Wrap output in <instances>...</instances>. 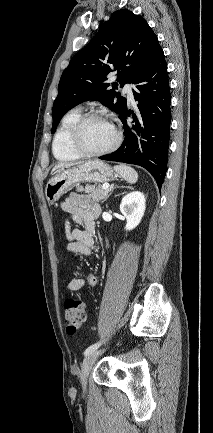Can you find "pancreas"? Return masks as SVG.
I'll list each match as a JSON object with an SVG mask.
<instances>
[{"mask_svg":"<svg viewBox=\"0 0 213 433\" xmlns=\"http://www.w3.org/2000/svg\"><path fill=\"white\" fill-rule=\"evenodd\" d=\"M77 191H84L96 202L103 200L107 195L106 190H104L100 185H86L84 189L82 187H77Z\"/></svg>","mask_w":213,"mask_h":433,"instance_id":"obj_1","label":"pancreas"}]
</instances>
